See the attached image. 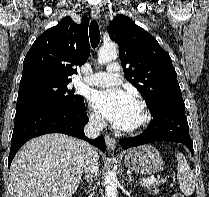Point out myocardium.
I'll return each instance as SVG.
<instances>
[{"label": "myocardium", "mask_w": 209, "mask_h": 197, "mask_svg": "<svg viewBox=\"0 0 209 197\" xmlns=\"http://www.w3.org/2000/svg\"><path fill=\"white\" fill-rule=\"evenodd\" d=\"M138 107L141 112L140 121L133 127L124 129L125 133L136 134L143 131L151 122V113L143 100L138 101Z\"/></svg>", "instance_id": "f54148a6"}]
</instances>
